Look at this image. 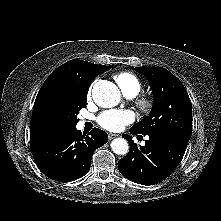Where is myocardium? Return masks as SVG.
Wrapping results in <instances>:
<instances>
[{"label": "myocardium", "instance_id": "f54148a6", "mask_svg": "<svg viewBox=\"0 0 221 221\" xmlns=\"http://www.w3.org/2000/svg\"><path fill=\"white\" fill-rule=\"evenodd\" d=\"M137 105L143 113H150L154 107V101L149 96H141L137 99Z\"/></svg>", "mask_w": 221, "mask_h": 221}]
</instances>
